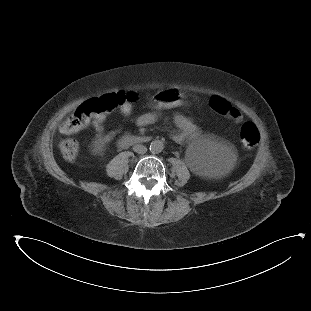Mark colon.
Returning <instances> with one entry per match:
<instances>
[{
  "mask_svg": "<svg viewBox=\"0 0 311 311\" xmlns=\"http://www.w3.org/2000/svg\"><path fill=\"white\" fill-rule=\"evenodd\" d=\"M138 98V94L124 90L96 98L66 116L64 121L59 123L58 132L62 136L69 137L74 135L79 127L89 123L90 120L94 119L100 113L104 112L108 114L119 108L129 112L133 109ZM207 102L214 111L219 112L223 117L231 118L233 121H238L243 115L240 108L234 107L230 103H223V98L220 95H210ZM240 135L246 148L256 146L260 140L259 129L252 123H245L240 130ZM59 147L66 161L73 162L78 158L80 153L78 141L65 139Z\"/></svg>",
  "mask_w": 311,
  "mask_h": 311,
  "instance_id": "obj_1",
  "label": "colon"
}]
</instances>
